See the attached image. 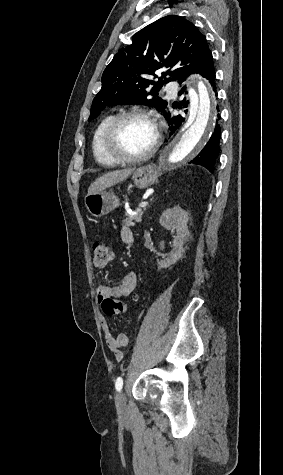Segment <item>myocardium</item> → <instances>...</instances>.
<instances>
[{
  "mask_svg": "<svg viewBox=\"0 0 283 475\" xmlns=\"http://www.w3.org/2000/svg\"><path fill=\"white\" fill-rule=\"evenodd\" d=\"M134 117L147 118V119L152 120L153 123L155 124L156 129H157V134H156V138L152 147L145 154L138 157H134V158L113 157V156L108 155L105 159V162H135V165H140L148 161L150 158H152L154 154L157 152L161 144V127L159 123V117L153 111L148 112V111H143V110H131V111H126L117 115L111 121V123L109 124L108 128L106 129L104 133V136L102 139V146H101L102 151L104 153H108V149L115 140V135L120 124L123 121L129 118H134Z\"/></svg>",
  "mask_w": 283,
  "mask_h": 475,
  "instance_id": "obj_1",
  "label": "myocardium"
}]
</instances>
